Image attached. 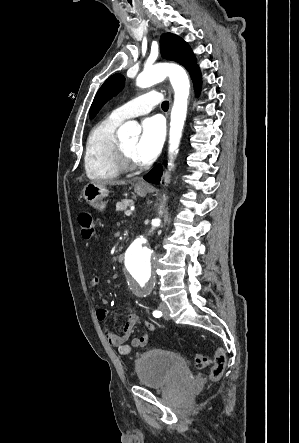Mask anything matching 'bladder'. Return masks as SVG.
I'll list each match as a JSON object with an SVG mask.
<instances>
[{
    "label": "bladder",
    "instance_id": "31cf9c89",
    "mask_svg": "<svg viewBox=\"0 0 299 443\" xmlns=\"http://www.w3.org/2000/svg\"><path fill=\"white\" fill-rule=\"evenodd\" d=\"M134 370L138 383L150 389H163L192 379L189 367L181 355L161 349L140 353L135 359Z\"/></svg>",
    "mask_w": 299,
    "mask_h": 443
}]
</instances>
